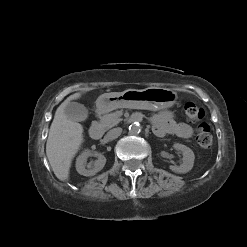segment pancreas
Returning <instances> with one entry per match:
<instances>
[{
	"mask_svg": "<svg viewBox=\"0 0 247 247\" xmlns=\"http://www.w3.org/2000/svg\"><path fill=\"white\" fill-rule=\"evenodd\" d=\"M120 116L121 111L105 114L100 117L99 125L103 130H108L117 125L122 120Z\"/></svg>",
	"mask_w": 247,
	"mask_h": 247,
	"instance_id": "1",
	"label": "pancreas"
}]
</instances>
